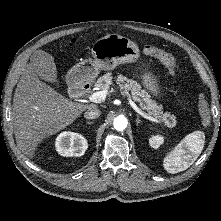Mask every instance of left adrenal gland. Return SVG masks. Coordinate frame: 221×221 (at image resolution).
<instances>
[{"mask_svg": "<svg viewBox=\"0 0 221 221\" xmlns=\"http://www.w3.org/2000/svg\"><path fill=\"white\" fill-rule=\"evenodd\" d=\"M140 123H141L140 117H139V115H137L136 126H139Z\"/></svg>", "mask_w": 221, "mask_h": 221, "instance_id": "obj_1", "label": "left adrenal gland"}]
</instances>
